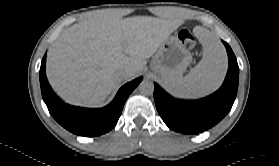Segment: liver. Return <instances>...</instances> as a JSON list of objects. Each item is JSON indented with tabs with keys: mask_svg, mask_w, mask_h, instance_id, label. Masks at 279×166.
<instances>
[{
	"mask_svg": "<svg viewBox=\"0 0 279 166\" xmlns=\"http://www.w3.org/2000/svg\"><path fill=\"white\" fill-rule=\"evenodd\" d=\"M182 24L172 12L165 18L135 16L120 19L98 14L65 29L51 46L46 65L48 81L66 102L87 107L101 105L126 78L138 75L150 58ZM125 80V79H124Z\"/></svg>",
	"mask_w": 279,
	"mask_h": 166,
	"instance_id": "1",
	"label": "liver"
}]
</instances>
